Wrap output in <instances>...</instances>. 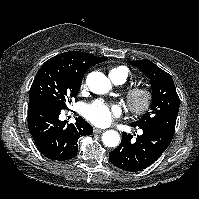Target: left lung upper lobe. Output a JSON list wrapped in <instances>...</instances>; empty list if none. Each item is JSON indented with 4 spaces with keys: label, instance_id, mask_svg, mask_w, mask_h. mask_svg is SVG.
Segmentation results:
<instances>
[{
    "label": "left lung upper lobe",
    "instance_id": "5c2ea615",
    "mask_svg": "<svg viewBox=\"0 0 199 199\" xmlns=\"http://www.w3.org/2000/svg\"><path fill=\"white\" fill-rule=\"evenodd\" d=\"M151 81L152 106L132 126L160 128L174 135L180 100L170 74L160 69L150 60L130 61Z\"/></svg>",
    "mask_w": 199,
    "mask_h": 199
}]
</instances>
